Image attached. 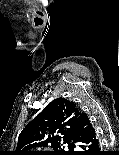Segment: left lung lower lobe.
<instances>
[{
  "mask_svg": "<svg viewBox=\"0 0 119 155\" xmlns=\"http://www.w3.org/2000/svg\"><path fill=\"white\" fill-rule=\"evenodd\" d=\"M77 144V145H75ZM74 145L82 152L76 155H104L101 151L99 138L89 117L81 112L74 136Z\"/></svg>",
  "mask_w": 119,
  "mask_h": 155,
  "instance_id": "1",
  "label": "left lung lower lobe"
}]
</instances>
